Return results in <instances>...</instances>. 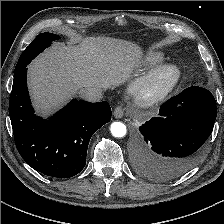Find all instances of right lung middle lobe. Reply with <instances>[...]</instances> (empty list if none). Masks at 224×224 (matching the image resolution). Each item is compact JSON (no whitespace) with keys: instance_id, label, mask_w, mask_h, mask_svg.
I'll list each match as a JSON object with an SVG mask.
<instances>
[{"instance_id":"obj_1","label":"right lung middle lobe","mask_w":224,"mask_h":224,"mask_svg":"<svg viewBox=\"0 0 224 224\" xmlns=\"http://www.w3.org/2000/svg\"><path fill=\"white\" fill-rule=\"evenodd\" d=\"M60 39L58 35L52 33H41L39 34L34 41L24 50L21 54L18 63L15 68L14 75H17L18 72L27 64H29L32 59H34L39 53L44 49L49 47L51 43L55 40Z\"/></svg>"}]
</instances>
